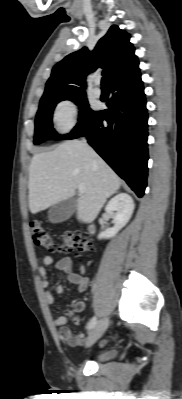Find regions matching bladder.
Segmentation results:
<instances>
[{"label": "bladder", "instance_id": "obj_1", "mask_svg": "<svg viewBox=\"0 0 182 399\" xmlns=\"http://www.w3.org/2000/svg\"><path fill=\"white\" fill-rule=\"evenodd\" d=\"M116 355H117L116 351L109 350V351L100 352L99 354H97L95 359L98 362H103V361H108V360L115 358Z\"/></svg>", "mask_w": 182, "mask_h": 399}]
</instances>
